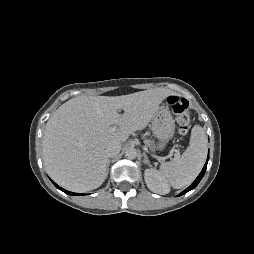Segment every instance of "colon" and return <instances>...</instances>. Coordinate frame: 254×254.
Masks as SVG:
<instances>
[{"mask_svg":"<svg viewBox=\"0 0 254 254\" xmlns=\"http://www.w3.org/2000/svg\"><path fill=\"white\" fill-rule=\"evenodd\" d=\"M167 102L171 111L176 116L179 135H186L192 119V113L189 109L188 101L177 96H170L168 97Z\"/></svg>","mask_w":254,"mask_h":254,"instance_id":"colon-1","label":"colon"}]
</instances>
